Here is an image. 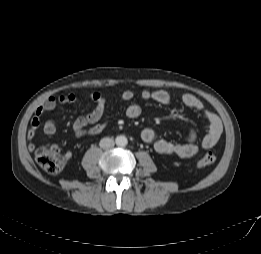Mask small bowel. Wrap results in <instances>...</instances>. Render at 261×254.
Here are the masks:
<instances>
[{"mask_svg":"<svg viewBox=\"0 0 261 254\" xmlns=\"http://www.w3.org/2000/svg\"><path fill=\"white\" fill-rule=\"evenodd\" d=\"M89 97L94 103V108L88 114L78 117L72 125L73 134L78 138L97 135L103 131L106 125V122H100L104 116L107 103L106 98L98 91L92 92ZM133 98L134 93L131 90H125L120 95V99L123 102H130ZM140 98L146 102L154 101L162 105H169L172 101L170 94L163 90L144 89L140 92ZM77 100V95L73 93L63 94L58 97L50 96L37 107L27 132L28 148L30 150H33L35 147L33 139L41 126H43V131L47 135H53L57 131V126L53 119L46 120L42 125V116L54 110L59 104H73ZM181 102L187 108L198 113L205 123L207 132L200 142L197 141V134L193 128L188 129L184 143L158 138L156 129L152 127H146L141 131V140L145 143L153 144L155 151L159 154L192 158L201 149L214 147L221 137L223 127L220 119L193 94H182ZM141 112V106L136 103H132L126 108V115L132 119L138 118ZM69 158L70 154H67L66 159Z\"/></svg>","mask_w":261,"mask_h":254,"instance_id":"small-bowel-1","label":"small bowel"}]
</instances>
